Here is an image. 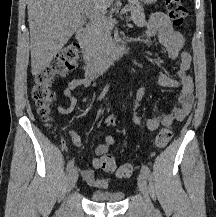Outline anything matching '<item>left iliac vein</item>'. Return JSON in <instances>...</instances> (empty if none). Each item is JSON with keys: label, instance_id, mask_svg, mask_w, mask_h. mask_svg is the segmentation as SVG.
I'll return each mask as SVG.
<instances>
[{"label": "left iliac vein", "instance_id": "1", "mask_svg": "<svg viewBox=\"0 0 216 217\" xmlns=\"http://www.w3.org/2000/svg\"><path fill=\"white\" fill-rule=\"evenodd\" d=\"M138 187L145 198L148 210L150 212H152L154 208H153V205H152L151 200L149 198L147 178L143 173H140L138 176Z\"/></svg>", "mask_w": 216, "mask_h": 217}]
</instances>
